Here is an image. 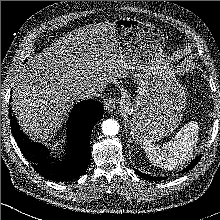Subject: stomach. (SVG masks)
<instances>
[{
  "label": "stomach",
  "mask_w": 220,
  "mask_h": 220,
  "mask_svg": "<svg viewBox=\"0 0 220 220\" xmlns=\"http://www.w3.org/2000/svg\"><path fill=\"white\" fill-rule=\"evenodd\" d=\"M114 26L128 73L139 85L136 99L125 107L129 133L138 144L158 141L176 129L186 105L185 90L162 54L164 35L129 17L116 19Z\"/></svg>",
  "instance_id": "0dacf381"
}]
</instances>
